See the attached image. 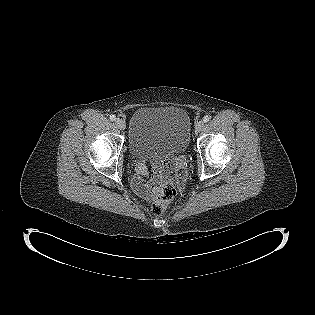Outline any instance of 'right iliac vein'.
Returning <instances> with one entry per match:
<instances>
[{"instance_id":"right-iliac-vein-1","label":"right iliac vein","mask_w":315,"mask_h":315,"mask_svg":"<svg viewBox=\"0 0 315 315\" xmlns=\"http://www.w3.org/2000/svg\"><path fill=\"white\" fill-rule=\"evenodd\" d=\"M115 125L120 130H124L126 128L125 122L122 119H119V118L115 120Z\"/></svg>"}]
</instances>
